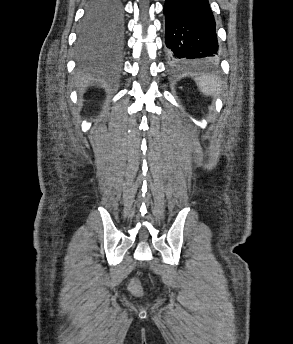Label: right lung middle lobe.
Listing matches in <instances>:
<instances>
[{
    "mask_svg": "<svg viewBox=\"0 0 293 344\" xmlns=\"http://www.w3.org/2000/svg\"><path fill=\"white\" fill-rule=\"evenodd\" d=\"M122 19L120 0H91L79 30V47L89 50L113 44V36L121 31Z\"/></svg>",
    "mask_w": 293,
    "mask_h": 344,
    "instance_id": "1",
    "label": "right lung middle lobe"
}]
</instances>
